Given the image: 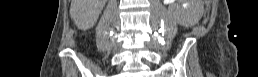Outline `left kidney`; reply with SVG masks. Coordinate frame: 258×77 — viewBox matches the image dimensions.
Instances as JSON below:
<instances>
[{"instance_id": "1", "label": "left kidney", "mask_w": 258, "mask_h": 77, "mask_svg": "<svg viewBox=\"0 0 258 77\" xmlns=\"http://www.w3.org/2000/svg\"><path fill=\"white\" fill-rule=\"evenodd\" d=\"M170 2H183V0H168ZM174 17L181 25H192L194 23L195 16L190 7L177 6L174 9Z\"/></svg>"}]
</instances>
